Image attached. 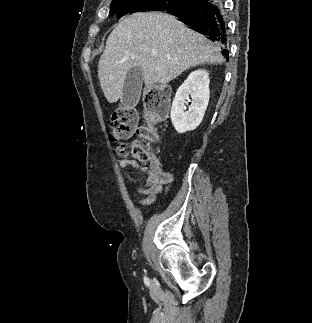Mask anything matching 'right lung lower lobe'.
<instances>
[{"mask_svg":"<svg viewBox=\"0 0 312 323\" xmlns=\"http://www.w3.org/2000/svg\"><path fill=\"white\" fill-rule=\"evenodd\" d=\"M223 2L220 0H189L182 6L170 8L167 12L190 26L195 31L209 36L221 48L228 59L227 21Z\"/></svg>","mask_w":312,"mask_h":323,"instance_id":"98d812e1","label":"right lung lower lobe"}]
</instances>
